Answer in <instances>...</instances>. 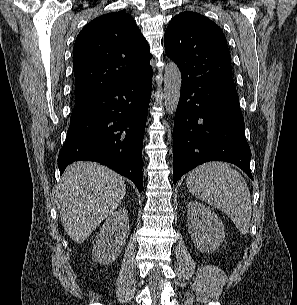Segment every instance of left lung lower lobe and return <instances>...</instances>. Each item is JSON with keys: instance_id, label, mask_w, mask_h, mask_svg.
Returning a JSON list of instances; mask_svg holds the SVG:
<instances>
[{"instance_id": "1", "label": "left lung lower lobe", "mask_w": 297, "mask_h": 305, "mask_svg": "<svg viewBox=\"0 0 297 305\" xmlns=\"http://www.w3.org/2000/svg\"><path fill=\"white\" fill-rule=\"evenodd\" d=\"M182 73L175 114L173 183L208 161L237 165L252 180L251 151L244 136V119L232 76L196 77Z\"/></svg>"}]
</instances>
